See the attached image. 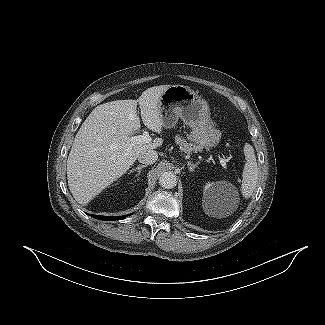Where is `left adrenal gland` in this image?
<instances>
[{
  "mask_svg": "<svg viewBox=\"0 0 325 325\" xmlns=\"http://www.w3.org/2000/svg\"><path fill=\"white\" fill-rule=\"evenodd\" d=\"M187 165H188V168H189V171H190V172H193L194 169L198 167V163L193 164V163H191L190 161L187 162Z\"/></svg>",
  "mask_w": 325,
  "mask_h": 325,
  "instance_id": "left-adrenal-gland-1",
  "label": "left adrenal gland"
}]
</instances>
